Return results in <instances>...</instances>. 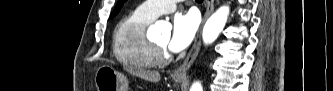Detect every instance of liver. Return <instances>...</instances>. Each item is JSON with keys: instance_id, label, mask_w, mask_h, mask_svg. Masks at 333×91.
I'll list each match as a JSON object with an SVG mask.
<instances>
[{"instance_id": "liver-1", "label": "liver", "mask_w": 333, "mask_h": 91, "mask_svg": "<svg viewBox=\"0 0 333 91\" xmlns=\"http://www.w3.org/2000/svg\"><path fill=\"white\" fill-rule=\"evenodd\" d=\"M126 71L129 73L144 79L149 82H159L161 79V75L157 71H152V70H144V69H133V68H125Z\"/></svg>"}]
</instances>
